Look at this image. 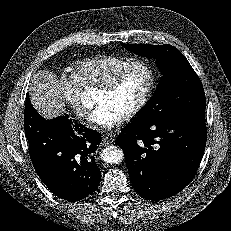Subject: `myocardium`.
I'll return each instance as SVG.
<instances>
[{
  "instance_id": "f54148a6",
  "label": "myocardium",
  "mask_w": 231,
  "mask_h": 231,
  "mask_svg": "<svg viewBox=\"0 0 231 231\" xmlns=\"http://www.w3.org/2000/svg\"><path fill=\"white\" fill-rule=\"evenodd\" d=\"M135 67L145 68L148 72L149 81L143 96L125 115H123L124 119H130L136 116L147 105L152 97L157 84V75L152 65L142 60L133 61L114 73L108 80L99 86V89L105 93L112 92L126 73Z\"/></svg>"
}]
</instances>
